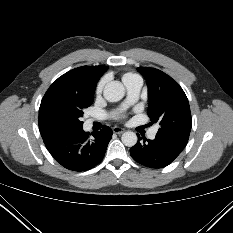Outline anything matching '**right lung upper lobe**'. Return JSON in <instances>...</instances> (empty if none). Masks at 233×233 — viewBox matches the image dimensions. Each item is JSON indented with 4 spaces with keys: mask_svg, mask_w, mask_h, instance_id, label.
<instances>
[{
    "mask_svg": "<svg viewBox=\"0 0 233 233\" xmlns=\"http://www.w3.org/2000/svg\"><path fill=\"white\" fill-rule=\"evenodd\" d=\"M107 66H82L59 77L45 93L39 109V129L45 144L70 131L56 126L51 120V109L60 101L78 95L94 93L99 78Z\"/></svg>",
    "mask_w": 233,
    "mask_h": 233,
    "instance_id": "1",
    "label": "right lung upper lobe"
}]
</instances>
